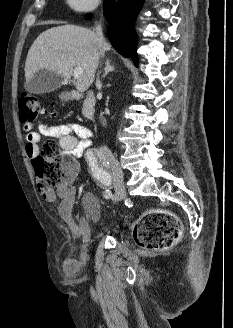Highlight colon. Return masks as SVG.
Segmentation results:
<instances>
[{
  "label": "colon",
  "mask_w": 233,
  "mask_h": 328,
  "mask_svg": "<svg viewBox=\"0 0 233 328\" xmlns=\"http://www.w3.org/2000/svg\"><path fill=\"white\" fill-rule=\"evenodd\" d=\"M19 117L24 124H30L40 116H56L54 110L42 107L36 96L23 92L18 99ZM36 175L45 186H60L75 172L74 164L64 162L56 142L43 143L40 153L34 158ZM182 225L173 213L166 210H151L144 213L134 227V240L142 248L163 251L171 248L181 238Z\"/></svg>",
  "instance_id": "5ec220e1"
}]
</instances>
